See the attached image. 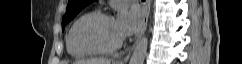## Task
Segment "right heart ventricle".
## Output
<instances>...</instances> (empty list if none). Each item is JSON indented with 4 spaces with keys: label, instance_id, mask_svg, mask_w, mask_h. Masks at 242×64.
Listing matches in <instances>:
<instances>
[{
    "label": "right heart ventricle",
    "instance_id": "obj_1",
    "mask_svg": "<svg viewBox=\"0 0 242 64\" xmlns=\"http://www.w3.org/2000/svg\"><path fill=\"white\" fill-rule=\"evenodd\" d=\"M90 13H92V12H88V13H85V14H82L81 16H79L73 22V24L71 25V27H70V29L68 31V34L66 36V47H67V51H68V53L71 56H73L75 58H83V57H86V56L90 55L89 53L84 52L80 48H78L77 45L75 44L74 38H73L74 30H75V27L78 24V22L81 19H83L86 15H88Z\"/></svg>",
    "mask_w": 242,
    "mask_h": 64
}]
</instances>
